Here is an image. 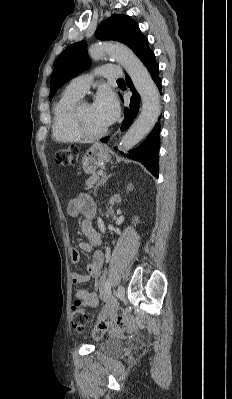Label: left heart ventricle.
Returning <instances> with one entry per match:
<instances>
[{
	"instance_id": "1",
	"label": "left heart ventricle",
	"mask_w": 232,
	"mask_h": 399,
	"mask_svg": "<svg viewBox=\"0 0 232 399\" xmlns=\"http://www.w3.org/2000/svg\"><path fill=\"white\" fill-rule=\"evenodd\" d=\"M80 115L82 124L88 132L98 134L108 129V127L94 115L90 106H83L80 110Z\"/></svg>"
}]
</instances>
